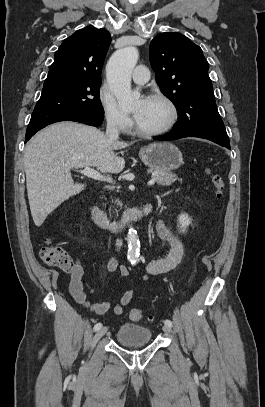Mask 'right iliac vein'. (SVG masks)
<instances>
[{
    "label": "right iliac vein",
    "instance_id": "1",
    "mask_svg": "<svg viewBox=\"0 0 265 407\" xmlns=\"http://www.w3.org/2000/svg\"><path fill=\"white\" fill-rule=\"evenodd\" d=\"M107 332V327L100 328L92 339V346H94Z\"/></svg>",
    "mask_w": 265,
    "mask_h": 407
}]
</instances>
